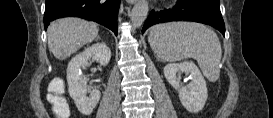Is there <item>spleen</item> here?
I'll use <instances>...</instances> for the list:
<instances>
[{
	"mask_svg": "<svg viewBox=\"0 0 273 118\" xmlns=\"http://www.w3.org/2000/svg\"><path fill=\"white\" fill-rule=\"evenodd\" d=\"M149 44L164 62L193 58L211 82L220 76L221 44L216 33L197 23L173 22L151 28Z\"/></svg>",
	"mask_w": 273,
	"mask_h": 118,
	"instance_id": "3e777b00",
	"label": "spleen"
}]
</instances>
